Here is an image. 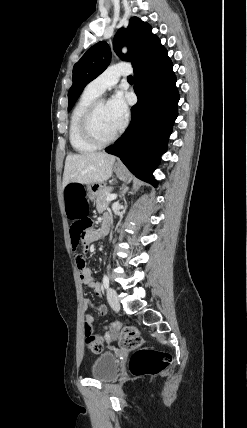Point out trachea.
<instances>
[{
    "label": "trachea",
    "instance_id": "3493384b",
    "mask_svg": "<svg viewBox=\"0 0 247 428\" xmlns=\"http://www.w3.org/2000/svg\"><path fill=\"white\" fill-rule=\"evenodd\" d=\"M128 81H133V77L132 76H128Z\"/></svg>",
    "mask_w": 247,
    "mask_h": 428
}]
</instances>
